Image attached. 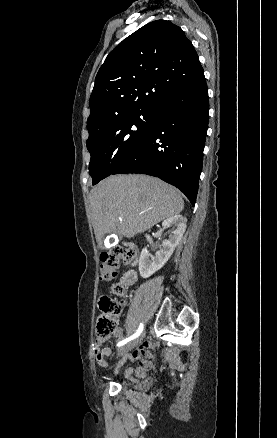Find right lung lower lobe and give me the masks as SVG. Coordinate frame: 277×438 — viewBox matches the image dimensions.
Masks as SVG:
<instances>
[{
	"mask_svg": "<svg viewBox=\"0 0 277 438\" xmlns=\"http://www.w3.org/2000/svg\"><path fill=\"white\" fill-rule=\"evenodd\" d=\"M208 99L204 74L165 95L155 106L144 140L113 174L159 177L195 205L208 128Z\"/></svg>",
	"mask_w": 277,
	"mask_h": 438,
	"instance_id": "right-lung-lower-lobe-1",
	"label": "right lung lower lobe"
}]
</instances>
